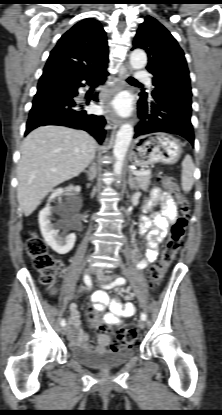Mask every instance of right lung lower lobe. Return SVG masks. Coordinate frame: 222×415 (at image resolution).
Here are the masks:
<instances>
[{"mask_svg":"<svg viewBox=\"0 0 222 415\" xmlns=\"http://www.w3.org/2000/svg\"><path fill=\"white\" fill-rule=\"evenodd\" d=\"M106 69L85 75L55 68L44 69L29 113L25 135L39 126L61 125L87 131L101 144L105 137L104 118L88 114L84 105L75 101V97L78 88L85 86L83 81L90 86L102 84L108 76ZM90 99L98 101V94Z\"/></svg>","mask_w":222,"mask_h":415,"instance_id":"1","label":"right lung lower lobe"}]
</instances>
